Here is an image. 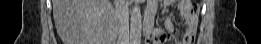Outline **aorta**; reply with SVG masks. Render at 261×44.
Segmentation results:
<instances>
[{"label":"aorta","mask_w":261,"mask_h":44,"mask_svg":"<svg viewBox=\"0 0 261 44\" xmlns=\"http://www.w3.org/2000/svg\"><path fill=\"white\" fill-rule=\"evenodd\" d=\"M139 3L140 0H134V7L131 12L130 41L133 44H139L141 42L142 15Z\"/></svg>","instance_id":"obj_1"}]
</instances>
